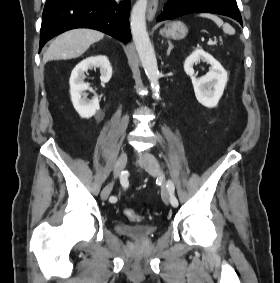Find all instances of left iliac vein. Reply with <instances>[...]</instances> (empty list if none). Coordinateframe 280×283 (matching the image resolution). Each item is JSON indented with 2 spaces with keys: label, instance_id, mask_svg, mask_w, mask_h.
Wrapping results in <instances>:
<instances>
[{
  "label": "left iliac vein",
  "instance_id": "1",
  "mask_svg": "<svg viewBox=\"0 0 280 283\" xmlns=\"http://www.w3.org/2000/svg\"><path fill=\"white\" fill-rule=\"evenodd\" d=\"M143 167L152 176L159 177L162 180L161 196L166 204H169V191L166 187V181L158 160L150 153L146 152L142 155Z\"/></svg>",
  "mask_w": 280,
  "mask_h": 283
}]
</instances>
